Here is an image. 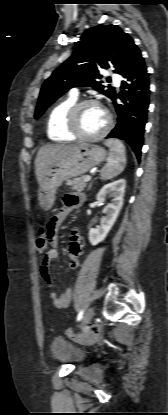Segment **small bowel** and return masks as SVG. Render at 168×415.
Returning <instances> with one entry per match:
<instances>
[{"mask_svg": "<svg viewBox=\"0 0 168 415\" xmlns=\"http://www.w3.org/2000/svg\"><path fill=\"white\" fill-rule=\"evenodd\" d=\"M84 201L82 194L69 193L63 197L62 207L56 212L51 220L45 225L48 243L51 248L44 254L45 262L40 264V275L48 287L52 286V277L50 274V265L59 260V251L57 249L58 233L69 213L77 209ZM82 252L81 238L76 229L72 230L70 241L67 248L69 257L68 266L71 269H77L80 266L79 256ZM73 291L67 288L61 295L54 291L50 292V297L57 309L67 308L72 301Z\"/></svg>", "mask_w": 168, "mask_h": 415, "instance_id": "obj_1", "label": "small bowel"}]
</instances>
